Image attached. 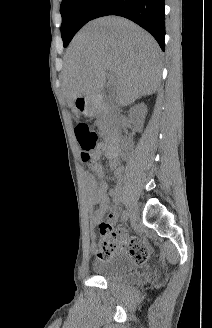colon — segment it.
I'll return each mask as SVG.
<instances>
[{
    "label": "colon",
    "instance_id": "colon-1",
    "mask_svg": "<svg viewBox=\"0 0 212 328\" xmlns=\"http://www.w3.org/2000/svg\"><path fill=\"white\" fill-rule=\"evenodd\" d=\"M75 136L80 148L82 161H91L97 149V134L92 131L87 123L79 122L75 126ZM101 239L98 245V257L108 259L116 248L118 233L113 231L107 223L100 225ZM147 251H143L138 262H143L147 258Z\"/></svg>",
    "mask_w": 212,
    "mask_h": 328
}]
</instances>
